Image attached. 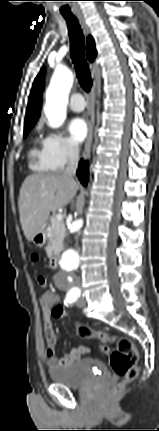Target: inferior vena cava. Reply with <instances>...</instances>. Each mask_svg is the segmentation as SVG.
I'll return each mask as SVG.
<instances>
[{
  "label": "inferior vena cava",
  "mask_w": 159,
  "mask_h": 431,
  "mask_svg": "<svg viewBox=\"0 0 159 431\" xmlns=\"http://www.w3.org/2000/svg\"><path fill=\"white\" fill-rule=\"evenodd\" d=\"M67 155V167L64 171V176L68 178H73L78 167L79 151L76 147L69 145L67 149Z\"/></svg>",
  "instance_id": "obj_1"
}]
</instances>
